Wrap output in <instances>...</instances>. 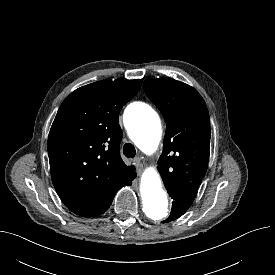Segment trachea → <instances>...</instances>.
Wrapping results in <instances>:
<instances>
[{
    "instance_id": "3493384b",
    "label": "trachea",
    "mask_w": 275,
    "mask_h": 275,
    "mask_svg": "<svg viewBox=\"0 0 275 275\" xmlns=\"http://www.w3.org/2000/svg\"><path fill=\"white\" fill-rule=\"evenodd\" d=\"M123 153L127 158H134L136 150L132 144L126 143L123 147Z\"/></svg>"
}]
</instances>
